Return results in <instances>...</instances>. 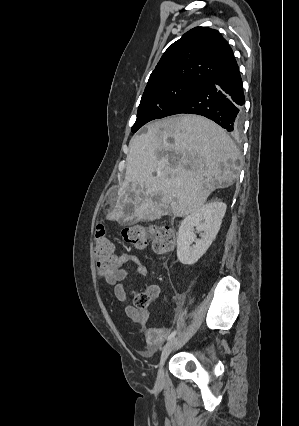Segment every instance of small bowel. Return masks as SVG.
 <instances>
[{
	"label": "small bowel",
	"instance_id": "1",
	"mask_svg": "<svg viewBox=\"0 0 299 426\" xmlns=\"http://www.w3.org/2000/svg\"><path fill=\"white\" fill-rule=\"evenodd\" d=\"M126 264L132 265L140 276L145 278L148 277L149 271L146 265L138 256L128 252H121L116 256V267L112 269L105 268L97 260V275L103 278L107 285L114 286V294L118 301L124 306L126 315L141 328H145L150 317L149 311L146 309L139 311L127 303V293L124 282L130 276V273L123 268ZM148 292L154 300L158 299L160 296V289L156 285H151ZM168 333L169 328L166 326L150 328L146 334L145 349L141 353L144 356L152 355L164 342Z\"/></svg>",
	"mask_w": 299,
	"mask_h": 426
}]
</instances>
